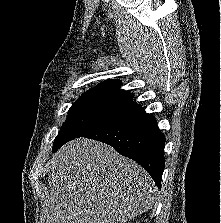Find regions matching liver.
<instances>
[{"mask_svg": "<svg viewBox=\"0 0 221 223\" xmlns=\"http://www.w3.org/2000/svg\"><path fill=\"white\" fill-rule=\"evenodd\" d=\"M47 165L46 223H126L157 200L149 174L102 142L72 140Z\"/></svg>", "mask_w": 221, "mask_h": 223, "instance_id": "obj_1", "label": "liver"}]
</instances>
